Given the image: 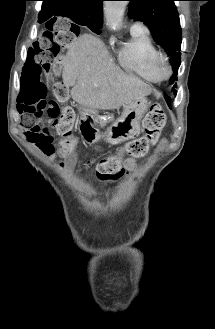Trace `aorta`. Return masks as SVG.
<instances>
[{"instance_id": "obj_1", "label": "aorta", "mask_w": 215, "mask_h": 329, "mask_svg": "<svg viewBox=\"0 0 215 329\" xmlns=\"http://www.w3.org/2000/svg\"><path fill=\"white\" fill-rule=\"evenodd\" d=\"M126 7L125 1H106L104 4V15L106 24L113 30L122 27V19Z\"/></svg>"}]
</instances>
